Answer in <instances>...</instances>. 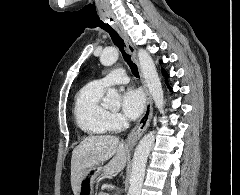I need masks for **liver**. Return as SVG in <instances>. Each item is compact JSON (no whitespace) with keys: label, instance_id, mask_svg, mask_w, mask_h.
<instances>
[{"label":"liver","instance_id":"6515ba94","mask_svg":"<svg viewBox=\"0 0 240 195\" xmlns=\"http://www.w3.org/2000/svg\"><path fill=\"white\" fill-rule=\"evenodd\" d=\"M128 151L129 145L120 141L116 135H90L82 139L74 147L71 157V185L74 195H78L82 179H85L94 165L110 159L103 169V177H111L116 175V171H122L127 163Z\"/></svg>","mask_w":240,"mask_h":195}]
</instances>
